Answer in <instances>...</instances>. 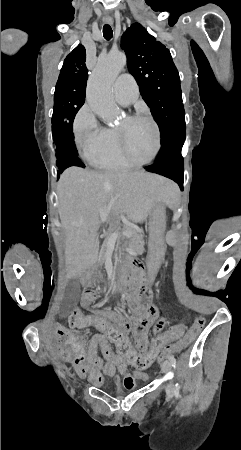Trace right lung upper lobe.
I'll list each match as a JSON object with an SVG mask.
<instances>
[{
  "instance_id": "right-lung-upper-lobe-1",
  "label": "right lung upper lobe",
  "mask_w": 241,
  "mask_h": 450,
  "mask_svg": "<svg viewBox=\"0 0 241 450\" xmlns=\"http://www.w3.org/2000/svg\"><path fill=\"white\" fill-rule=\"evenodd\" d=\"M85 60V48L78 45L64 60L57 83L73 82L86 85L88 70Z\"/></svg>"
}]
</instances>
